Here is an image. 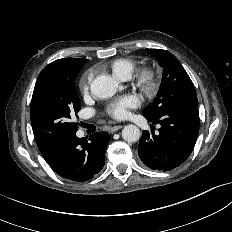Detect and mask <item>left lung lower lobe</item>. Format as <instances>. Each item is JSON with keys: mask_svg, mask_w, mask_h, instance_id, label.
I'll return each mask as SVG.
<instances>
[{"mask_svg": "<svg viewBox=\"0 0 232 232\" xmlns=\"http://www.w3.org/2000/svg\"><path fill=\"white\" fill-rule=\"evenodd\" d=\"M161 125L159 134L144 130L138 155L153 170L170 171L180 166L191 154L199 132L197 108L178 106L157 118H148Z\"/></svg>", "mask_w": 232, "mask_h": 232, "instance_id": "left-lung-lower-lobe-1", "label": "left lung lower lobe"}]
</instances>
